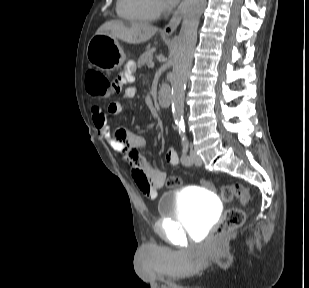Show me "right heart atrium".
<instances>
[{
  "mask_svg": "<svg viewBox=\"0 0 309 288\" xmlns=\"http://www.w3.org/2000/svg\"><path fill=\"white\" fill-rule=\"evenodd\" d=\"M157 8L159 10V12H162L165 10V3L164 0H155Z\"/></svg>",
  "mask_w": 309,
  "mask_h": 288,
  "instance_id": "right-heart-atrium-1",
  "label": "right heart atrium"
}]
</instances>
